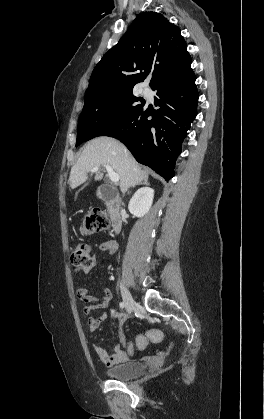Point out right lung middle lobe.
<instances>
[{
  "mask_svg": "<svg viewBox=\"0 0 264 419\" xmlns=\"http://www.w3.org/2000/svg\"><path fill=\"white\" fill-rule=\"evenodd\" d=\"M144 104L145 100L136 98L132 90L86 96L78 123L76 146L104 136Z\"/></svg>",
  "mask_w": 264,
  "mask_h": 419,
  "instance_id": "right-lung-middle-lobe-1",
  "label": "right lung middle lobe"
}]
</instances>
